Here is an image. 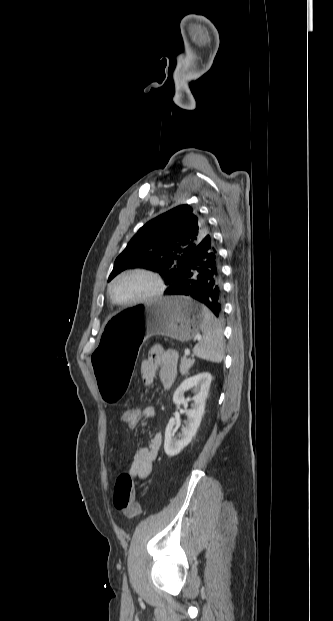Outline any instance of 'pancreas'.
Returning a JSON list of instances; mask_svg holds the SVG:
<instances>
[{
	"label": "pancreas",
	"instance_id": "cf45deb5",
	"mask_svg": "<svg viewBox=\"0 0 333 621\" xmlns=\"http://www.w3.org/2000/svg\"><path fill=\"white\" fill-rule=\"evenodd\" d=\"M194 362H195L194 358L183 357L181 359V364H180V373L182 375H185L186 373H188L189 369L193 366Z\"/></svg>",
	"mask_w": 333,
	"mask_h": 621
}]
</instances>
